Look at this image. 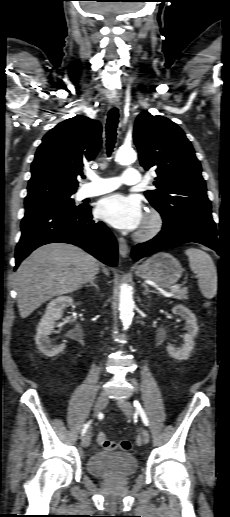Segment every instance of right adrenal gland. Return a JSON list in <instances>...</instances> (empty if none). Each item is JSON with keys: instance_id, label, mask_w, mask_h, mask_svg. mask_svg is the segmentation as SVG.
Instances as JSON below:
<instances>
[{"instance_id": "obj_1", "label": "right adrenal gland", "mask_w": 230, "mask_h": 517, "mask_svg": "<svg viewBox=\"0 0 230 517\" xmlns=\"http://www.w3.org/2000/svg\"><path fill=\"white\" fill-rule=\"evenodd\" d=\"M89 286H93L95 287V289L97 291H99V287L98 285L96 284V277H93L90 281H89V284L86 285V287H89Z\"/></svg>"}]
</instances>
